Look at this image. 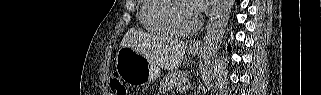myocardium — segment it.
<instances>
[{"label": "myocardium", "mask_w": 321, "mask_h": 95, "mask_svg": "<svg viewBox=\"0 0 321 95\" xmlns=\"http://www.w3.org/2000/svg\"><path fill=\"white\" fill-rule=\"evenodd\" d=\"M179 3H185L186 5L190 6L186 0H166L165 4L163 5V7L160 10V19L164 23V25L169 29V31L171 33H173L174 35L188 36L198 30V28L200 27V20L196 16L194 24L191 28H189V29L178 28L172 20L171 12H172L174 6Z\"/></svg>", "instance_id": "myocardium-1"}]
</instances>
